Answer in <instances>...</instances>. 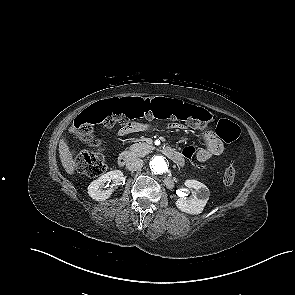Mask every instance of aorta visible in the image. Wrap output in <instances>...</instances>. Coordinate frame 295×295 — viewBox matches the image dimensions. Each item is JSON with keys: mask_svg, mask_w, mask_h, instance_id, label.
I'll use <instances>...</instances> for the list:
<instances>
[{"mask_svg": "<svg viewBox=\"0 0 295 295\" xmlns=\"http://www.w3.org/2000/svg\"><path fill=\"white\" fill-rule=\"evenodd\" d=\"M150 169L154 174H164L168 171V165L163 156H155L150 161Z\"/></svg>", "mask_w": 295, "mask_h": 295, "instance_id": "aorta-1", "label": "aorta"}]
</instances>
